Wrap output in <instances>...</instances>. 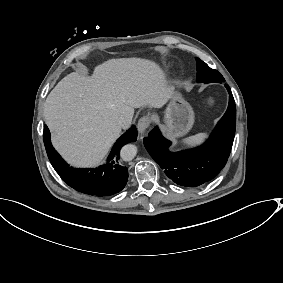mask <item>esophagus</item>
I'll use <instances>...</instances> for the list:
<instances>
[{"mask_svg": "<svg viewBox=\"0 0 283 283\" xmlns=\"http://www.w3.org/2000/svg\"><path fill=\"white\" fill-rule=\"evenodd\" d=\"M152 119L153 117L151 116H143L142 118H140L137 124V128L141 135H143L146 129L150 126Z\"/></svg>", "mask_w": 283, "mask_h": 283, "instance_id": "esophagus-1", "label": "esophagus"}]
</instances>
